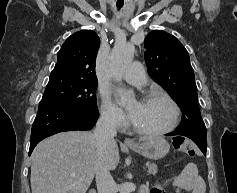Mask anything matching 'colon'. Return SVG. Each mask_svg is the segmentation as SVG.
<instances>
[{
  "instance_id": "obj_1",
  "label": "colon",
  "mask_w": 237,
  "mask_h": 193,
  "mask_svg": "<svg viewBox=\"0 0 237 193\" xmlns=\"http://www.w3.org/2000/svg\"><path fill=\"white\" fill-rule=\"evenodd\" d=\"M173 146L177 151L187 156L195 154L194 144L183 137H175L173 139Z\"/></svg>"
}]
</instances>
